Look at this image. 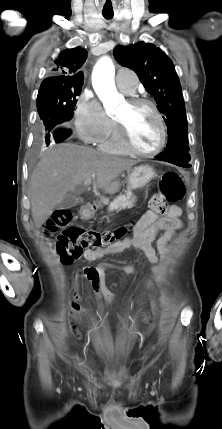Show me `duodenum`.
<instances>
[{
  "instance_id": "duodenum-1",
  "label": "duodenum",
  "mask_w": 222,
  "mask_h": 429,
  "mask_svg": "<svg viewBox=\"0 0 222 429\" xmlns=\"http://www.w3.org/2000/svg\"><path fill=\"white\" fill-rule=\"evenodd\" d=\"M96 208H97V206H96V204L94 203V202H88L85 206H84V211H85V213H90V212H92V211H94V210H96Z\"/></svg>"
}]
</instances>
